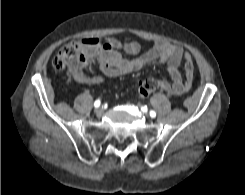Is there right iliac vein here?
Returning <instances> with one entry per match:
<instances>
[{"label":"right iliac vein","instance_id":"right-iliac-vein-1","mask_svg":"<svg viewBox=\"0 0 245 195\" xmlns=\"http://www.w3.org/2000/svg\"><path fill=\"white\" fill-rule=\"evenodd\" d=\"M103 112H104V110H103L102 107H98V108L95 110L96 115L99 116V117L102 116Z\"/></svg>","mask_w":245,"mask_h":195}]
</instances>
